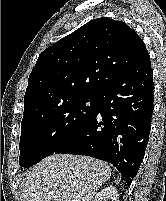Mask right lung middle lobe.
Returning a JSON list of instances; mask_svg holds the SVG:
<instances>
[{
	"mask_svg": "<svg viewBox=\"0 0 166 201\" xmlns=\"http://www.w3.org/2000/svg\"><path fill=\"white\" fill-rule=\"evenodd\" d=\"M97 96L80 97L35 115L23 116L19 165L30 167L61 146L95 113Z\"/></svg>",
	"mask_w": 166,
	"mask_h": 201,
	"instance_id": "right-lung-middle-lobe-1",
	"label": "right lung middle lobe"
}]
</instances>
